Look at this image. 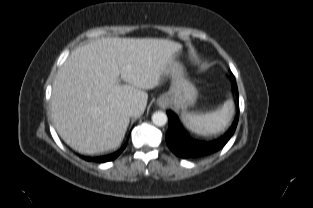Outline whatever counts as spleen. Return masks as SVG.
<instances>
[{
  "label": "spleen",
  "instance_id": "spleen-1",
  "mask_svg": "<svg viewBox=\"0 0 313 208\" xmlns=\"http://www.w3.org/2000/svg\"><path fill=\"white\" fill-rule=\"evenodd\" d=\"M234 113V104L227 100L219 109L205 114H190L182 116L183 124L200 135L209 136L225 129Z\"/></svg>",
  "mask_w": 313,
  "mask_h": 208
}]
</instances>
